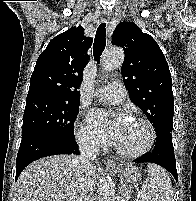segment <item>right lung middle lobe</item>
<instances>
[{
    "instance_id": "dd1d6c3e",
    "label": "right lung middle lobe",
    "mask_w": 196,
    "mask_h": 201,
    "mask_svg": "<svg viewBox=\"0 0 196 201\" xmlns=\"http://www.w3.org/2000/svg\"><path fill=\"white\" fill-rule=\"evenodd\" d=\"M78 111L79 102L45 98L26 100L22 137L34 133H51L72 138Z\"/></svg>"
}]
</instances>
